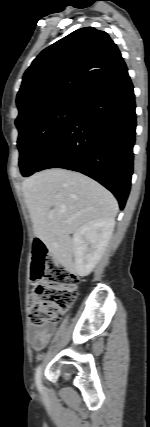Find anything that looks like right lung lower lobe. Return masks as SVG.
<instances>
[{"label": "right lung lower lobe", "instance_id": "98d812e1", "mask_svg": "<svg viewBox=\"0 0 150 427\" xmlns=\"http://www.w3.org/2000/svg\"><path fill=\"white\" fill-rule=\"evenodd\" d=\"M135 128V96L126 71L78 106L35 172L48 168L81 172L110 190L123 209L133 173Z\"/></svg>", "mask_w": 150, "mask_h": 427}]
</instances>
